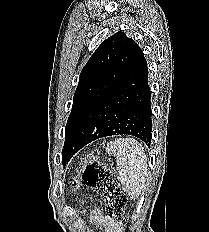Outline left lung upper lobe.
Here are the masks:
<instances>
[{"instance_id":"1","label":"left lung upper lobe","mask_w":209,"mask_h":232,"mask_svg":"<svg viewBox=\"0 0 209 232\" xmlns=\"http://www.w3.org/2000/svg\"><path fill=\"white\" fill-rule=\"evenodd\" d=\"M139 48L131 38L118 31L101 43L83 67L65 129L63 164L69 161V145L76 130L92 109L108 98L122 82Z\"/></svg>"}]
</instances>
